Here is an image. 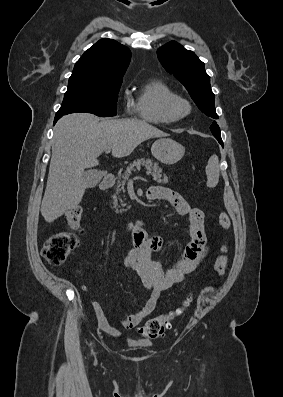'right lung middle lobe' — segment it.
Returning <instances> with one entry per match:
<instances>
[{
  "mask_svg": "<svg viewBox=\"0 0 283 397\" xmlns=\"http://www.w3.org/2000/svg\"><path fill=\"white\" fill-rule=\"evenodd\" d=\"M121 84L122 79L104 80L72 74L56 115L87 112L101 117L115 116Z\"/></svg>",
  "mask_w": 283,
  "mask_h": 397,
  "instance_id": "1",
  "label": "right lung middle lobe"
}]
</instances>
